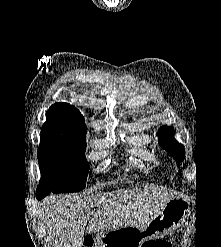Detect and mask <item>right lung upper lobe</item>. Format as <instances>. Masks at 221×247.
<instances>
[{
	"label": "right lung upper lobe",
	"instance_id": "right-lung-upper-lobe-1",
	"mask_svg": "<svg viewBox=\"0 0 221 247\" xmlns=\"http://www.w3.org/2000/svg\"><path fill=\"white\" fill-rule=\"evenodd\" d=\"M43 131L64 132L86 138L87 127L80 111L68 103H55L46 113Z\"/></svg>",
	"mask_w": 221,
	"mask_h": 247
}]
</instances>
